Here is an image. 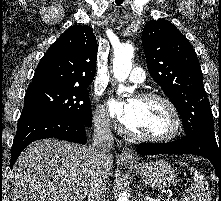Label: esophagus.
Listing matches in <instances>:
<instances>
[{
	"instance_id": "esophagus-1",
	"label": "esophagus",
	"mask_w": 221,
	"mask_h": 201,
	"mask_svg": "<svg viewBox=\"0 0 221 201\" xmlns=\"http://www.w3.org/2000/svg\"><path fill=\"white\" fill-rule=\"evenodd\" d=\"M120 158L124 162H135L136 158L132 155L130 150L127 147H124L122 150V153L120 155Z\"/></svg>"
}]
</instances>
